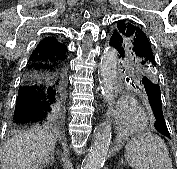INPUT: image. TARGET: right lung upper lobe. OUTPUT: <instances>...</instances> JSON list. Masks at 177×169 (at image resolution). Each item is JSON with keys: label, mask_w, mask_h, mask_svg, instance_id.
Returning a JSON list of instances; mask_svg holds the SVG:
<instances>
[{"label": "right lung upper lobe", "mask_w": 177, "mask_h": 169, "mask_svg": "<svg viewBox=\"0 0 177 169\" xmlns=\"http://www.w3.org/2000/svg\"><path fill=\"white\" fill-rule=\"evenodd\" d=\"M67 51L66 45L59 43L54 36L45 37L39 42L34 52L45 54L50 58L64 60Z\"/></svg>", "instance_id": "right-lung-upper-lobe-1"}]
</instances>
